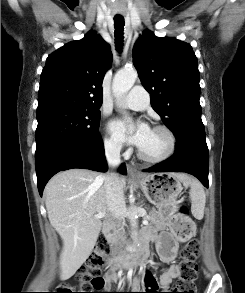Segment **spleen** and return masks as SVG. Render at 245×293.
<instances>
[{
  "label": "spleen",
  "instance_id": "3e777b00",
  "mask_svg": "<svg viewBox=\"0 0 245 293\" xmlns=\"http://www.w3.org/2000/svg\"><path fill=\"white\" fill-rule=\"evenodd\" d=\"M188 184H190V198H191V212L192 215L201 220L204 216V209L206 203V195L204 191V187L202 184L195 180L189 179Z\"/></svg>",
  "mask_w": 245,
  "mask_h": 293
}]
</instances>
